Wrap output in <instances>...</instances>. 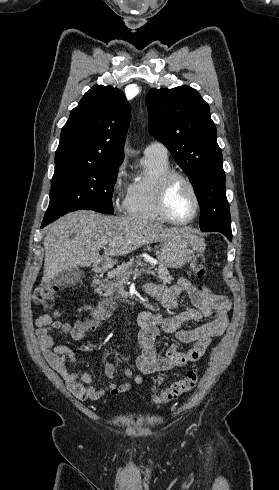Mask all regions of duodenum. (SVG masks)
<instances>
[{
	"mask_svg": "<svg viewBox=\"0 0 279 490\" xmlns=\"http://www.w3.org/2000/svg\"><path fill=\"white\" fill-rule=\"evenodd\" d=\"M104 262L102 261H97L94 264V269L96 271H101L104 269ZM127 295V292L124 290H119L117 292L116 296H108L104 298L98 306H96L93 309V314L95 317L99 319H106L108 318L114 311L115 306H116V298L117 297H125Z\"/></svg>",
	"mask_w": 279,
	"mask_h": 490,
	"instance_id": "1",
	"label": "duodenum"
}]
</instances>
